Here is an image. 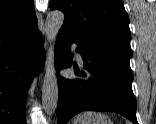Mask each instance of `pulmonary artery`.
<instances>
[{"instance_id": "e3ab8cb5", "label": "pulmonary artery", "mask_w": 156, "mask_h": 124, "mask_svg": "<svg viewBox=\"0 0 156 124\" xmlns=\"http://www.w3.org/2000/svg\"><path fill=\"white\" fill-rule=\"evenodd\" d=\"M76 58L79 62H82V57L79 52H76Z\"/></svg>"}]
</instances>
